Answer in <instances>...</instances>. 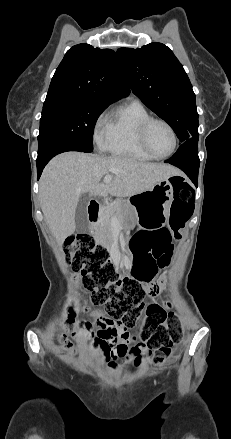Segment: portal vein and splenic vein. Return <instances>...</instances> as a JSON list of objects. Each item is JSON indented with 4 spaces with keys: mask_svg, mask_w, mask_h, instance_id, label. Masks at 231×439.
Instances as JSON below:
<instances>
[{
    "mask_svg": "<svg viewBox=\"0 0 231 439\" xmlns=\"http://www.w3.org/2000/svg\"><path fill=\"white\" fill-rule=\"evenodd\" d=\"M112 181V177L111 176H105L104 177V183H110Z\"/></svg>",
    "mask_w": 231,
    "mask_h": 439,
    "instance_id": "portal-vein-and-splenic-vein-1",
    "label": "portal vein and splenic vein"
}]
</instances>
